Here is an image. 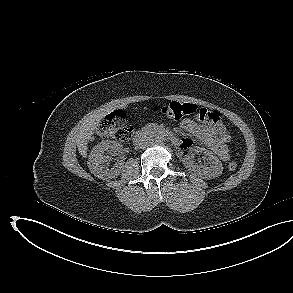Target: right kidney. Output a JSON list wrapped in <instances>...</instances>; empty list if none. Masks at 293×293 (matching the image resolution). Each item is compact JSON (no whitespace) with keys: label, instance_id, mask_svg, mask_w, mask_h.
Masks as SVG:
<instances>
[{"label":"right kidney","instance_id":"ca27d5eb","mask_svg":"<svg viewBox=\"0 0 293 293\" xmlns=\"http://www.w3.org/2000/svg\"><path fill=\"white\" fill-rule=\"evenodd\" d=\"M121 148L122 145L115 141H102L95 145L88 159V167L91 173L103 180L112 179L120 175L123 163L118 162L114 168L109 169L107 162L111 160V157L105 156L104 153L108 150L115 153L121 150Z\"/></svg>","mask_w":293,"mask_h":293}]
</instances>
